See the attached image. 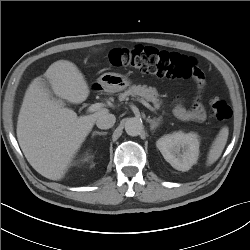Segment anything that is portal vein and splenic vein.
Here are the masks:
<instances>
[{
  "mask_svg": "<svg viewBox=\"0 0 250 250\" xmlns=\"http://www.w3.org/2000/svg\"><path fill=\"white\" fill-rule=\"evenodd\" d=\"M139 102H141L146 108H148L149 110L151 111H155V109L148 103L146 102L145 100L143 99H138ZM104 107V104L103 103H95V104H91L89 107H88V112H95L97 110H100Z\"/></svg>",
  "mask_w": 250,
  "mask_h": 250,
  "instance_id": "18ae733b",
  "label": "portal vein and splenic vein"
}]
</instances>
